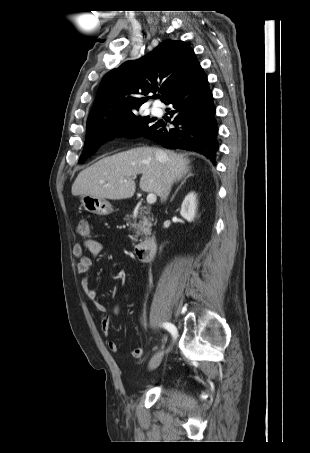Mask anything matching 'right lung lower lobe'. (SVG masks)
I'll list each match as a JSON object with an SVG mask.
<instances>
[{
	"mask_svg": "<svg viewBox=\"0 0 310 453\" xmlns=\"http://www.w3.org/2000/svg\"><path fill=\"white\" fill-rule=\"evenodd\" d=\"M165 104L173 105L168 113L175 115L172 122L175 128L169 129L158 121L144 137L169 149L199 152L215 163L218 126L212 92L202 68Z\"/></svg>",
	"mask_w": 310,
	"mask_h": 453,
	"instance_id": "98d812e1",
	"label": "right lung lower lobe"
}]
</instances>
